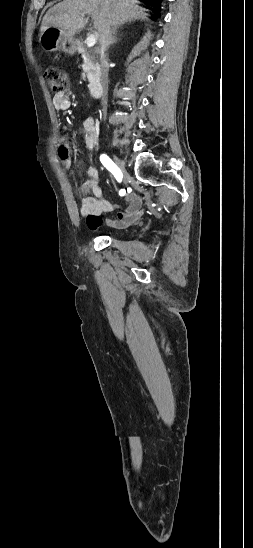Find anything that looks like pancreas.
Returning a JSON list of instances; mask_svg holds the SVG:
<instances>
[{"label": "pancreas", "instance_id": "cf45deb5", "mask_svg": "<svg viewBox=\"0 0 253 548\" xmlns=\"http://www.w3.org/2000/svg\"><path fill=\"white\" fill-rule=\"evenodd\" d=\"M83 64L82 69L86 73L89 80V88L93 89L99 84L100 70L99 64L95 58L89 55H82Z\"/></svg>", "mask_w": 253, "mask_h": 548}]
</instances>
